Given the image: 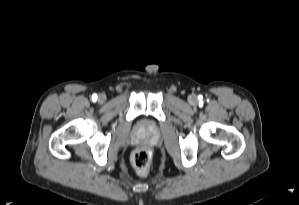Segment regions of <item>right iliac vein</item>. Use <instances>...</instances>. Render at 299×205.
<instances>
[{
	"instance_id": "63e3f726",
	"label": "right iliac vein",
	"mask_w": 299,
	"mask_h": 205,
	"mask_svg": "<svg viewBox=\"0 0 299 205\" xmlns=\"http://www.w3.org/2000/svg\"><path fill=\"white\" fill-rule=\"evenodd\" d=\"M105 100H106V96L103 95V94H101V95L99 96V98H98V101H99L100 103H103Z\"/></svg>"
}]
</instances>
